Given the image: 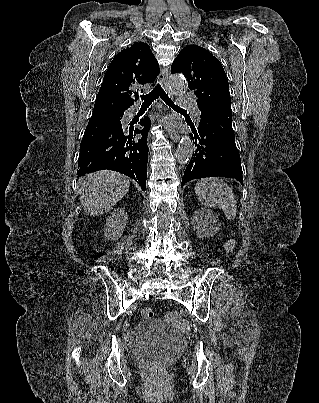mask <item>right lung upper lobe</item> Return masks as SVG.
Masks as SVG:
<instances>
[{"mask_svg": "<svg viewBox=\"0 0 319 403\" xmlns=\"http://www.w3.org/2000/svg\"><path fill=\"white\" fill-rule=\"evenodd\" d=\"M158 73L159 64L148 44L138 42L123 49L107 69L94 108L116 112L129 109L138 99L133 87L154 82Z\"/></svg>", "mask_w": 319, "mask_h": 403, "instance_id": "right-lung-upper-lobe-1", "label": "right lung upper lobe"}]
</instances>
